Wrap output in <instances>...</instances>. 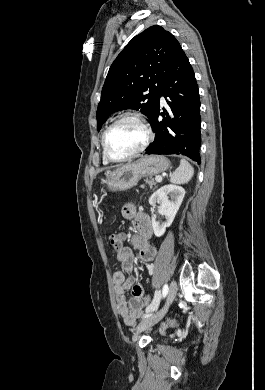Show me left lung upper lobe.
I'll return each instance as SVG.
<instances>
[{
  "mask_svg": "<svg viewBox=\"0 0 265 390\" xmlns=\"http://www.w3.org/2000/svg\"><path fill=\"white\" fill-rule=\"evenodd\" d=\"M183 53L177 39L154 25L135 36L112 63L97 108L98 131L114 112L132 108L149 118L158 92Z\"/></svg>",
  "mask_w": 265,
  "mask_h": 390,
  "instance_id": "left-lung-upper-lobe-1",
  "label": "left lung upper lobe"
}]
</instances>
